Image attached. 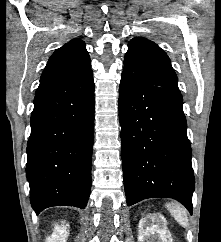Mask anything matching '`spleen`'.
I'll use <instances>...</instances> for the list:
<instances>
[{"mask_svg":"<svg viewBox=\"0 0 221 242\" xmlns=\"http://www.w3.org/2000/svg\"><path fill=\"white\" fill-rule=\"evenodd\" d=\"M166 208L174 219L184 228L188 227V217L186 209L176 202L166 203Z\"/></svg>","mask_w":221,"mask_h":242,"instance_id":"3e777b00","label":"spleen"}]
</instances>
